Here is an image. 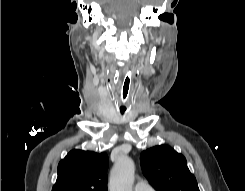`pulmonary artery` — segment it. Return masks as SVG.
<instances>
[{
  "mask_svg": "<svg viewBox=\"0 0 245 191\" xmlns=\"http://www.w3.org/2000/svg\"><path fill=\"white\" fill-rule=\"evenodd\" d=\"M134 191H154V189L144 181H139L134 187Z\"/></svg>",
  "mask_w": 245,
  "mask_h": 191,
  "instance_id": "1",
  "label": "pulmonary artery"
}]
</instances>
